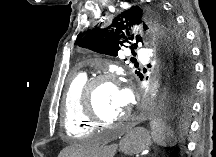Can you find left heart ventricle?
Listing matches in <instances>:
<instances>
[{"instance_id": "1", "label": "left heart ventricle", "mask_w": 216, "mask_h": 157, "mask_svg": "<svg viewBox=\"0 0 216 157\" xmlns=\"http://www.w3.org/2000/svg\"><path fill=\"white\" fill-rule=\"evenodd\" d=\"M97 113L105 120H115L126 113V107L118 104L117 87L112 85L101 86L95 95Z\"/></svg>"}]
</instances>
